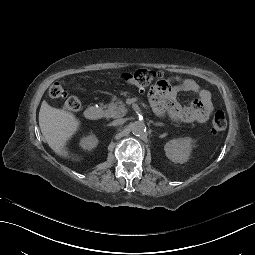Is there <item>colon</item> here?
Wrapping results in <instances>:
<instances>
[{"instance_id": "colon-1", "label": "colon", "mask_w": 255, "mask_h": 255, "mask_svg": "<svg viewBox=\"0 0 255 255\" xmlns=\"http://www.w3.org/2000/svg\"><path fill=\"white\" fill-rule=\"evenodd\" d=\"M124 83L134 85L139 88H144L155 81V86L159 88L164 87V78L161 72H157L149 69H139L134 72L124 73L121 76ZM49 96L57 99L66 96V89L61 83H54L49 88ZM81 108V102L77 97L71 96L66 99L64 103V110L70 113H75ZM227 126V120L223 111H216L211 124L213 132H221L225 130Z\"/></svg>"}]
</instances>
